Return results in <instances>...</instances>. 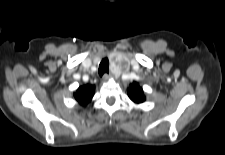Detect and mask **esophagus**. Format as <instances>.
Here are the masks:
<instances>
[{"label": "esophagus", "mask_w": 225, "mask_h": 155, "mask_svg": "<svg viewBox=\"0 0 225 155\" xmlns=\"http://www.w3.org/2000/svg\"><path fill=\"white\" fill-rule=\"evenodd\" d=\"M112 78V75L111 74H104V76H103V81H108L109 79H111Z\"/></svg>", "instance_id": "esophagus-1"}]
</instances>
